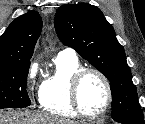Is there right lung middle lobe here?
Segmentation results:
<instances>
[{"instance_id": "dd1d6c3e", "label": "right lung middle lobe", "mask_w": 145, "mask_h": 124, "mask_svg": "<svg viewBox=\"0 0 145 124\" xmlns=\"http://www.w3.org/2000/svg\"><path fill=\"white\" fill-rule=\"evenodd\" d=\"M30 61L0 66V109L21 108L31 104L26 91Z\"/></svg>"}]
</instances>
